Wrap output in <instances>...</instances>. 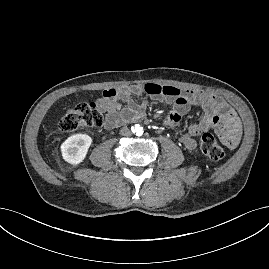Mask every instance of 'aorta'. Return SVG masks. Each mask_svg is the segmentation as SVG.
Masks as SVG:
<instances>
[{"label":"aorta","instance_id":"762f6f07","mask_svg":"<svg viewBox=\"0 0 269 269\" xmlns=\"http://www.w3.org/2000/svg\"><path fill=\"white\" fill-rule=\"evenodd\" d=\"M134 133H136L137 136H141L143 134V128L140 125H136L134 127Z\"/></svg>","mask_w":269,"mask_h":269}]
</instances>
